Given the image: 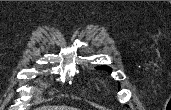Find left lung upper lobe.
I'll return each instance as SVG.
<instances>
[{
	"label": "left lung upper lobe",
	"instance_id": "1",
	"mask_svg": "<svg viewBox=\"0 0 171 110\" xmlns=\"http://www.w3.org/2000/svg\"><path fill=\"white\" fill-rule=\"evenodd\" d=\"M97 69H103V70L112 72V69L110 67H108V66H99V67H97Z\"/></svg>",
	"mask_w": 171,
	"mask_h": 110
}]
</instances>
